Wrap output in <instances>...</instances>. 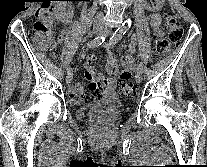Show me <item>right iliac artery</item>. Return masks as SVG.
<instances>
[{"mask_svg":"<svg viewBox=\"0 0 207 167\" xmlns=\"http://www.w3.org/2000/svg\"><path fill=\"white\" fill-rule=\"evenodd\" d=\"M107 36H99L94 38L93 40L89 41L87 43V47L89 48H95L100 46L102 43H104V41L106 40ZM72 69L69 67L67 68V72H70Z\"/></svg>","mask_w":207,"mask_h":167,"instance_id":"right-iliac-artery-1","label":"right iliac artery"}]
</instances>
